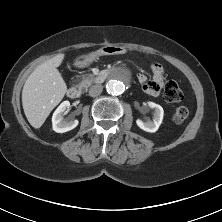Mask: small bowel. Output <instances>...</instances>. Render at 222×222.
Returning a JSON list of instances; mask_svg holds the SVG:
<instances>
[{"label": "small bowel", "instance_id": "c3829d8e", "mask_svg": "<svg viewBox=\"0 0 222 222\" xmlns=\"http://www.w3.org/2000/svg\"><path fill=\"white\" fill-rule=\"evenodd\" d=\"M151 71L153 73V79L151 81H148L147 77L143 74L138 75V80L148 95L157 96L165 81L164 68L159 63H153L151 65Z\"/></svg>", "mask_w": 222, "mask_h": 222}]
</instances>
